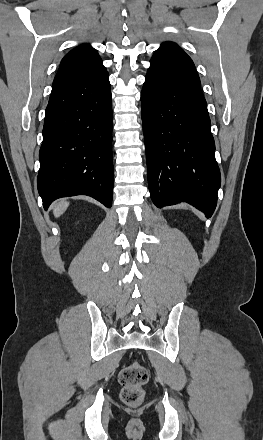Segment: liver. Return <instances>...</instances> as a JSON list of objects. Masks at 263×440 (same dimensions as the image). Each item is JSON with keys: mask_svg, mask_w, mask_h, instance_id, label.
<instances>
[{"mask_svg": "<svg viewBox=\"0 0 263 440\" xmlns=\"http://www.w3.org/2000/svg\"><path fill=\"white\" fill-rule=\"evenodd\" d=\"M68 206H69V202L64 201V200L56 203L53 208L54 216L59 217L60 215H62L66 211Z\"/></svg>", "mask_w": 263, "mask_h": 440, "instance_id": "liver-1", "label": "liver"}]
</instances>
